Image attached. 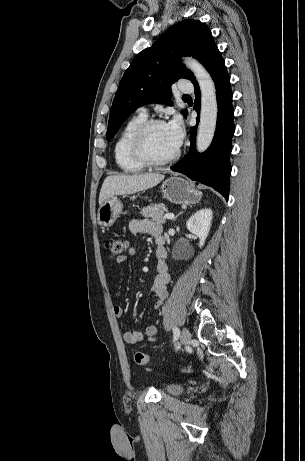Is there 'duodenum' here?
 I'll use <instances>...</instances> for the list:
<instances>
[{
	"label": "duodenum",
	"mask_w": 305,
	"mask_h": 461,
	"mask_svg": "<svg viewBox=\"0 0 305 461\" xmlns=\"http://www.w3.org/2000/svg\"><path fill=\"white\" fill-rule=\"evenodd\" d=\"M156 242H157V245H158L160 248H162V247H164L165 239H164L163 236H158V237L156 238Z\"/></svg>",
	"instance_id": "duodenum-1"
}]
</instances>
